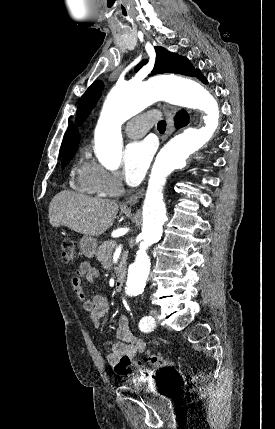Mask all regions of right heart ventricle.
Wrapping results in <instances>:
<instances>
[{"label": "right heart ventricle", "instance_id": "e07e8e85", "mask_svg": "<svg viewBox=\"0 0 275 429\" xmlns=\"http://www.w3.org/2000/svg\"><path fill=\"white\" fill-rule=\"evenodd\" d=\"M92 167V163H83L76 172L74 185L81 192L96 196H105L94 181Z\"/></svg>", "mask_w": 275, "mask_h": 429}]
</instances>
